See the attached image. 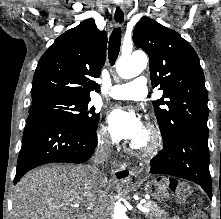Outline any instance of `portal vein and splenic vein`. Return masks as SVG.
<instances>
[{
	"label": "portal vein and splenic vein",
	"instance_id": "portal-vein-and-splenic-vein-1",
	"mask_svg": "<svg viewBox=\"0 0 221 219\" xmlns=\"http://www.w3.org/2000/svg\"><path fill=\"white\" fill-rule=\"evenodd\" d=\"M78 206H79V205H76V207H78ZM138 209H139L141 212H144V213L149 212V209L146 208V207H144V206H142L141 204L138 205Z\"/></svg>",
	"mask_w": 221,
	"mask_h": 219
}]
</instances>
